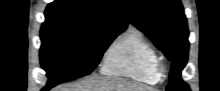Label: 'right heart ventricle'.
<instances>
[{
	"label": "right heart ventricle",
	"instance_id": "obj_1",
	"mask_svg": "<svg viewBox=\"0 0 220 91\" xmlns=\"http://www.w3.org/2000/svg\"><path fill=\"white\" fill-rule=\"evenodd\" d=\"M101 72L153 85L160 80L159 55L136 27H130L107 50Z\"/></svg>",
	"mask_w": 220,
	"mask_h": 91
}]
</instances>
